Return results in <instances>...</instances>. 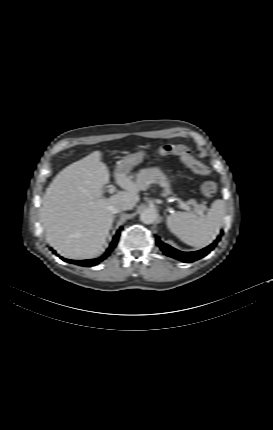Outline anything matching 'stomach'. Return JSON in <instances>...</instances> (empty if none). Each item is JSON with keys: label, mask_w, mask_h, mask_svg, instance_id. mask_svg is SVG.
<instances>
[{"label": "stomach", "mask_w": 273, "mask_h": 430, "mask_svg": "<svg viewBox=\"0 0 273 430\" xmlns=\"http://www.w3.org/2000/svg\"><path fill=\"white\" fill-rule=\"evenodd\" d=\"M145 151L141 150L137 153L134 154H130L125 156L117 165V169L122 171V172H128L130 170L131 167H133L134 165H137L138 163H141L144 156H145Z\"/></svg>", "instance_id": "stomach-1"}]
</instances>
